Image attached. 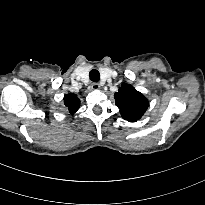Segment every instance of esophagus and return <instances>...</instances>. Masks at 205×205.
<instances>
[{
  "mask_svg": "<svg viewBox=\"0 0 205 205\" xmlns=\"http://www.w3.org/2000/svg\"><path fill=\"white\" fill-rule=\"evenodd\" d=\"M100 87H101V86H100L98 83H92V85H91V89H92V90H99Z\"/></svg>",
  "mask_w": 205,
  "mask_h": 205,
  "instance_id": "esophagus-1",
  "label": "esophagus"
}]
</instances>
